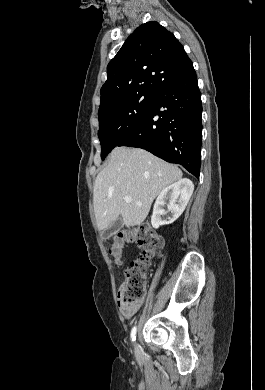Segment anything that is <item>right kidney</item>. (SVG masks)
Here are the masks:
<instances>
[{"instance_id":"1","label":"right kidney","mask_w":265,"mask_h":390,"mask_svg":"<svg viewBox=\"0 0 265 390\" xmlns=\"http://www.w3.org/2000/svg\"><path fill=\"white\" fill-rule=\"evenodd\" d=\"M194 190V185L191 180L184 178L174 184L167 186L161 191L156 199L151 217L152 226L157 229L162 225L171 224L176 221L185 210ZM168 202V212L171 216L163 219L167 211L163 209Z\"/></svg>"}]
</instances>
